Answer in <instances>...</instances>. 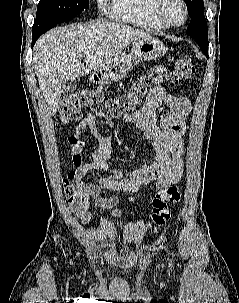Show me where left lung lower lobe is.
Masks as SVG:
<instances>
[{
	"instance_id": "obj_1",
	"label": "left lung lower lobe",
	"mask_w": 239,
	"mask_h": 303,
	"mask_svg": "<svg viewBox=\"0 0 239 303\" xmlns=\"http://www.w3.org/2000/svg\"><path fill=\"white\" fill-rule=\"evenodd\" d=\"M199 46H200V48L203 50V52H204V54L206 55V57H208V46H205V45H200V44H198Z\"/></svg>"
}]
</instances>
